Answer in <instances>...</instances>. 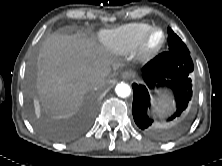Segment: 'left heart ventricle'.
Segmentation results:
<instances>
[{
    "label": "left heart ventricle",
    "instance_id": "b2bd125f",
    "mask_svg": "<svg viewBox=\"0 0 222 166\" xmlns=\"http://www.w3.org/2000/svg\"><path fill=\"white\" fill-rule=\"evenodd\" d=\"M161 40V33L160 32H155L151 38H150V41H149V44L151 46H154L156 45L159 41Z\"/></svg>",
    "mask_w": 222,
    "mask_h": 166
}]
</instances>
